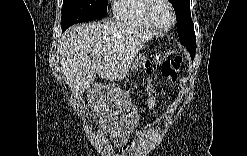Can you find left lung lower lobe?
I'll use <instances>...</instances> for the list:
<instances>
[{"label":"left lung lower lobe","mask_w":247,"mask_h":156,"mask_svg":"<svg viewBox=\"0 0 247 156\" xmlns=\"http://www.w3.org/2000/svg\"><path fill=\"white\" fill-rule=\"evenodd\" d=\"M194 56H195V55H191V59H192V60L194 59Z\"/></svg>","instance_id":"obj_1"}]
</instances>
